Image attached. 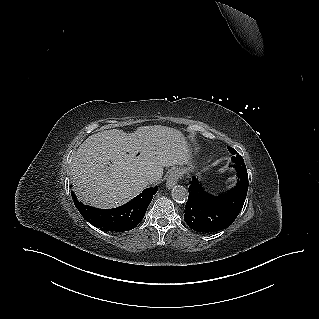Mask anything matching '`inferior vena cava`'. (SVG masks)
<instances>
[{"instance_id": "obj_1", "label": "inferior vena cava", "mask_w": 319, "mask_h": 319, "mask_svg": "<svg viewBox=\"0 0 319 319\" xmlns=\"http://www.w3.org/2000/svg\"><path fill=\"white\" fill-rule=\"evenodd\" d=\"M146 180H147L148 182H153V181H154V176H153V175H148V176L146 177Z\"/></svg>"}]
</instances>
